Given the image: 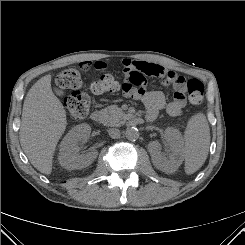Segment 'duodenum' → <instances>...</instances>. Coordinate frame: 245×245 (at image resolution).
I'll list each match as a JSON object with an SVG mask.
<instances>
[{
	"instance_id": "obj_1",
	"label": "duodenum",
	"mask_w": 245,
	"mask_h": 245,
	"mask_svg": "<svg viewBox=\"0 0 245 245\" xmlns=\"http://www.w3.org/2000/svg\"><path fill=\"white\" fill-rule=\"evenodd\" d=\"M91 119H92V121H94L96 123H101L103 121L102 112H100L98 110L92 112ZM146 119L151 120V118H149V117H146ZM144 121H145V119L143 117H140V116H135V117H132L130 119V123L133 125H141L144 123Z\"/></svg>"
}]
</instances>
